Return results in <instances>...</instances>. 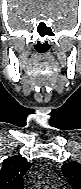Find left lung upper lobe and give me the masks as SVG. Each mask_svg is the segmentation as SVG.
Masks as SVG:
<instances>
[{
    "label": "left lung upper lobe",
    "instance_id": "1",
    "mask_svg": "<svg viewBox=\"0 0 81 189\" xmlns=\"http://www.w3.org/2000/svg\"><path fill=\"white\" fill-rule=\"evenodd\" d=\"M62 172L73 189H81V164L68 162L63 165Z\"/></svg>",
    "mask_w": 81,
    "mask_h": 189
}]
</instances>
